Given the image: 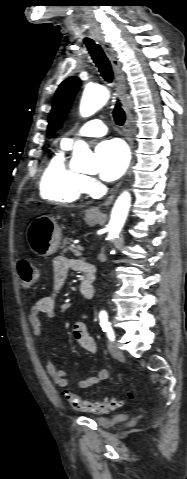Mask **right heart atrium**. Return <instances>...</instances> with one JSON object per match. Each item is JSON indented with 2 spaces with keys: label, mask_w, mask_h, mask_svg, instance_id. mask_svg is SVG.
I'll return each mask as SVG.
<instances>
[{
  "label": "right heart atrium",
  "mask_w": 187,
  "mask_h": 479,
  "mask_svg": "<svg viewBox=\"0 0 187 479\" xmlns=\"http://www.w3.org/2000/svg\"><path fill=\"white\" fill-rule=\"evenodd\" d=\"M96 181L89 177V176H83V188L86 191H92L93 188L96 186Z\"/></svg>",
  "instance_id": "right-heart-atrium-1"
}]
</instances>
